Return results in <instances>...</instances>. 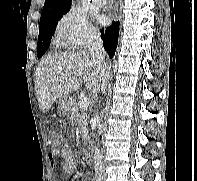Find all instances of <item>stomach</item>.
Instances as JSON below:
<instances>
[{
	"label": "stomach",
	"instance_id": "stomach-1",
	"mask_svg": "<svg viewBox=\"0 0 197 181\" xmlns=\"http://www.w3.org/2000/svg\"><path fill=\"white\" fill-rule=\"evenodd\" d=\"M73 105V101L70 97L61 98L58 104V113L67 115Z\"/></svg>",
	"mask_w": 197,
	"mask_h": 181
}]
</instances>
